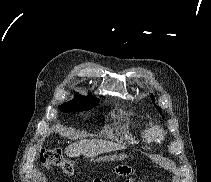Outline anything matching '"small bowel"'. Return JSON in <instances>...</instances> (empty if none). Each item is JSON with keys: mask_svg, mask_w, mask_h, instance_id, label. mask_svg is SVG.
I'll list each match as a JSON object with an SVG mask.
<instances>
[{"mask_svg": "<svg viewBox=\"0 0 211 182\" xmlns=\"http://www.w3.org/2000/svg\"><path fill=\"white\" fill-rule=\"evenodd\" d=\"M126 178H127L126 179V182H134V179L132 177V174L127 175Z\"/></svg>", "mask_w": 211, "mask_h": 182, "instance_id": "1", "label": "small bowel"}]
</instances>
